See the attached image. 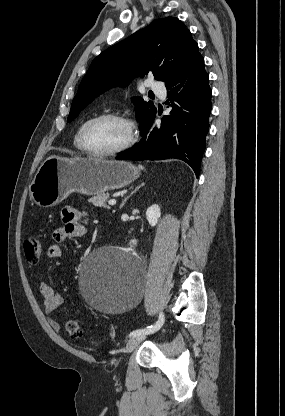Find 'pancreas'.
Instances as JSON below:
<instances>
[{
  "label": "pancreas",
  "instance_id": "pancreas-1",
  "mask_svg": "<svg viewBox=\"0 0 285 416\" xmlns=\"http://www.w3.org/2000/svg\"><path fill=\"white\" fill-rule=\"evenodd\" d=\"M110 194H102V196H94V198H90L88 202H92L93 206H100V208H109L106 202L109 200Z\"/></svg>",
  "mask_w": 285,
  "mask_h": 416
}]
</instances>
